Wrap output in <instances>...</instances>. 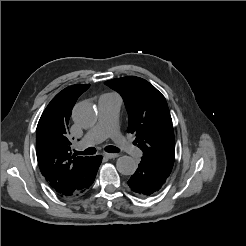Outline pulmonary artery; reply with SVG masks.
I'll return each instance as SVG.
<instances>
[{
	"mask_svg": "<svg viewBox=\"0 0 246 246\" xmlns=\"http://www.w3.org/2000/svg\"><path fill=\"white\" fill-rule=\"evenodd\" d=\"M121 103L120 96L113 93L103 94L99 98L98 121L87 131L80 146L94 145L108 137H112L121 149L138 160L142 157V150L132 145L117 131V119Z\"/></svg>",
	"mask_w": 246,
	"mask_h": 246,
	"instance_id": "obj_1",
	"label": "pulmonary artery"
}]
</instances>
